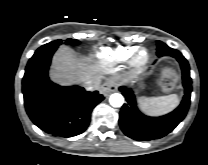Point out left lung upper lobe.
<instances>
[{
    "label": "left lung upper lobe",
    "instance_id": "1",
    "mask_svg": "<svg viewBox=\"0 0 208 165\" xmlns=\"http://www.w3.org/2000/svg\"><path fill=\"white\" fill-rule=\"evenodd\" d=\"M170 49L166 44H164L161 41L157 42V55H159L161 52Z\"/></svg>",
    "mask_w": 208,
    "mask_h": 165
}]
</instances>
